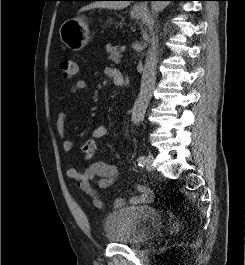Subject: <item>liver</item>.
Wrapping results in <instances>:
<instances>
[{
	"instance_id": "1",
	"label": "liver",
	"mask_w": 245,
	"mask_h": 265,
	"mask_svg": "<svg viewBox=\"0 0 245 265\" xmlns=\"http://www.w3.org/2000/svg\"><path fill=\"white\" fill-rule=\"evenodd\" d=\"M129 5L128 1H101L91 3L83 8L80 11H86L93 8H107V9H123Z\"/></svg>"
}]
</instances>
